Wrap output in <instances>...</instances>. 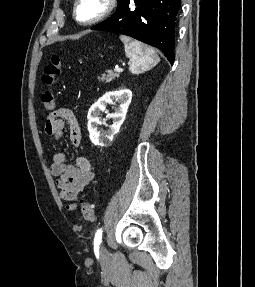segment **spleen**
Segmentation results:
<instances>
[{
    "label": "spleen",
    "instance_id": "1",
    "mask_svg": "<svg viewBox=\"0 0 255 287\" xmlns=\"http://www.w3.org/2000/svg\"><path fill=\"white\" fill-rule=\"evenodd\" d=\"M121 42L125 46V54L127 58H130V72L135 74L139 72L142 68H152L157 62H159L158 56H155L152 48L142 44V42H137V40H132L128 36H120Z\"/></svg>",
    "mask_w": 255,
    "mask_h": 287
}]
</instances>
